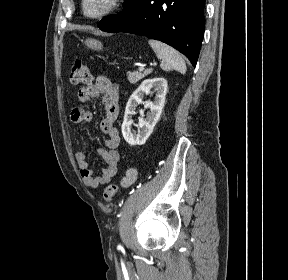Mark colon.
I'll return each mask as SVG.
<instances>
[{"instance_id": "colon-1", "label": "colon", "mask_w": 288, "mask_h": 280, "mask_svg": "<svg viewBox=\"0 0 288 280\" xmlns=\"http://www.w3.org/2000/svg\"><path fill=\"white\" fill-rule=\"evenodd\" d=\"M70 81L73 84L85 85H89L92 82V75L88 67L80 60H75L70 68ZM137 177V170L132 167L128 168L119 184H110L105 188L103 192L104 199L107 202H112L118 191L131 187L136 182Z\"/></svg>"}]
</instances>
